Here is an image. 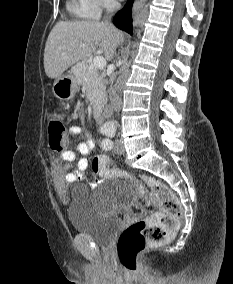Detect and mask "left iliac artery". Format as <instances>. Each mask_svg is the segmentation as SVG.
Masks as SVG:
<instances>
[{
  "label": "left iliac artery",
  "mask_w": 233,
  "mask_h": 284,
  "mask_svg": "<svg viewBox=\"0 0 233 284\" xmlns=\"http://www.w3.org/2000/svg\"><path fill=\"white\" fill-rule=\"evenodd\" d=\"M102 133H104L107 138L102 141V147L105 150H111L113 148V141L111 140L115 136V130L114 129H104L101 130Z\"/></svg>",
  "instance_id": "44dca946"
}]
</instances>
